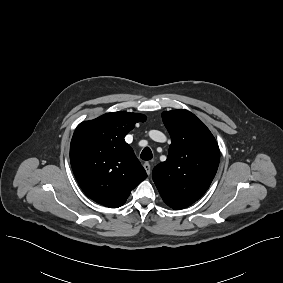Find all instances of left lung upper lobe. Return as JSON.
Segmentation results:
<instances>
[{
	"label": "left lung upper lobe",
	"instance_id": "1",
	"mask_svg": "<svg viewBox=\"0 0 283 283\" xmlns=\"http://www.w3.org/2000/svg\"><path fill=\"white\" fill-rule=\"evenodd\" d=\"M162 119L171 145L167 160L154 167L152 177L164 202L183 209L209 188L219 165V147L204 123L187 110L163 112Z\"/></svg>",
	"mask_w": 283,
	"mask_h": 283
}]
</instances>
